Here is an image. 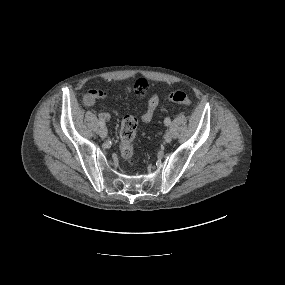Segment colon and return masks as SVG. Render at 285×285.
I'll return each instance as SVG.
<instances>
[{
	"label": "colon",
	"instance_id": "colon-1",
	"mask_svg": "<svg viewBox=\"0 0 285 285\" xmlns=\"http://www.w3.org/2000/svg\"><path fill=\"white\" fill-rule=\"evenodd\" d=\"M148 86V82L145 79H138L135 83V90L141 91ZM169 99L180 105L188 106L191 103V99L187 93L181 90L172 92ZM137 119L132 115H127L122 119L120 125V152L123 158L130 164L134 162V141L137 132Z\"/></svg>",
	"mask_w": 285,
	"mask_h": 285
}]
</instances>
